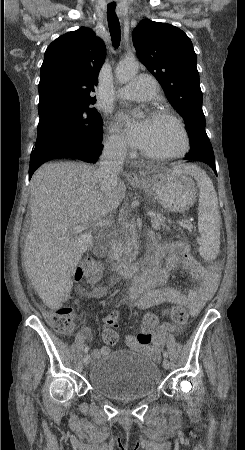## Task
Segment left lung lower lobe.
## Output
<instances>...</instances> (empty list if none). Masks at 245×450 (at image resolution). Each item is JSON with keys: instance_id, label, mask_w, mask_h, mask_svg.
Masks as SVG:
<instances>
[{"instance_id": "1", "label": "left lung lower lobe", "mask_w": 245, "mask_h": 450, "mask_svg": "<svg viewBox=\"0 0 245 450\" xmlns=\"http://www.w3.org/2000/svg\"><path fill=\"white\" fill-rule=\"evenodd\" d=\"M184 159L201 161V162L207 163L214 170L215 174L217 175L216 167H215L214 152L210 147L201 148V150L197 154H193V155L187 154Z\"/></svg>"}]
</instances>
